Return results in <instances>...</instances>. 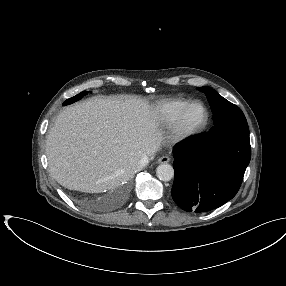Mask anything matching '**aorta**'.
Wrapping results in <instances>:
<instances>
[{"instance_id": "762f6f07", "label": "aorta", "mask_w": 286, "mask_h": 286, "mask_svg": "<svg viewBox=\"0 0 286 286\" xmlns=\"http://www.w3.org/2000/svg\"><path fill=\"white\" fill-rule=\"evenodd\" d=\"M156 175L162 181H170L174 177V169L170 164H161L156 169Z\"/></svg>"}]
</instances>
